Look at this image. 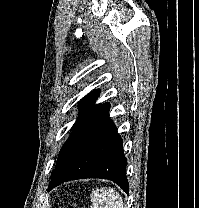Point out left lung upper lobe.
Returning <instances> with one entry per match:
<instances>
[{"label":"left lung upper lobe","mask_w":199,"mask_h":208,"mask_svg":"<svg viewBox=\"0 0 199 208\" xmlns=\"http://www.w3.org/2000/svg\"><path fill=\"white\" fill-rule=\"evenodd\" d=\"M100 90H94L89 93L83 100H81L79 104V117L75 124L72 127V132L84 121L86 120L92 113H94L99 107L103 104L94 105V102L98 98Z\"/></svg>","instance_id":"left-lung-upper-lobe-1"}]
</instances>
